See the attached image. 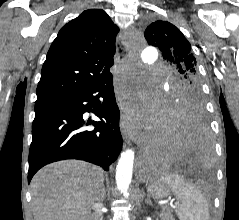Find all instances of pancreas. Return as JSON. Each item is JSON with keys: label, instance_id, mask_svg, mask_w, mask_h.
Here are the masks:
<instances>
[{"label": "pancreas", "instance_id": "1", "mask_svg": "<svg viewBox=\"0 0 239 220\" xmlns=\"http://www.w3.org/2000/svg\"><path fill=\"white\" fill-rule=\"evenodd\" d=\"M171 212L172 211L169 208L167 207L163 208V212L160 214V218L162 220H174Z\"/></svg>", "mask_w": 239, "mask_h": 220}]
</instances>
